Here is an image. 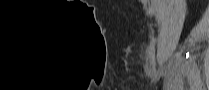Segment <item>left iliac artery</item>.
Listing matches in <instances>:
<instances>
[{
  "instance_id": "left-iliac-artery-1",
  "label": "left iliac artery",
  "mask_w": 209,
  "mask_h": 90,
  "mask_svg": "<svg viewBox=\"0 0 209 90\" xmlns=\"http://www.w3.org/2000/svg\"><path fill=\"white\" fill-rule=\"evenodd\" d=\"M194 77L196 79L197 85L199 86L201 84V76H200V70L198 69L196 63H193V70H192Z\"/></svg>"
}]
</instances>
